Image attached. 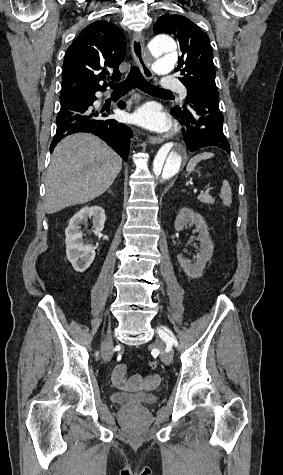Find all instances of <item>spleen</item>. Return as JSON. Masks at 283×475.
I'll return each instance as SVG.
<instances>
[{
	"instance_id": "3e777b00",
	"label": "spleen",
	"mask_w": 283,
	"mask_h": 475,
	"mask_svg": "<svg viewBox=\"0 0 283 475\" xmlns=\"http://www.w3.org/2000/svg\"><path fill=\"white\" fill-rule=\"evenodd\" d=\"M214 154L212 152H203V154H198V156H194V158H191L190 162L187 164V172H193L195 166L201 162V160H210V158H213ZM221 198L223 200L224 206H231L232 204V194H231V188L229 186V182L227 180H224L221 188Z\"/></svg>"
}]
</instances>
